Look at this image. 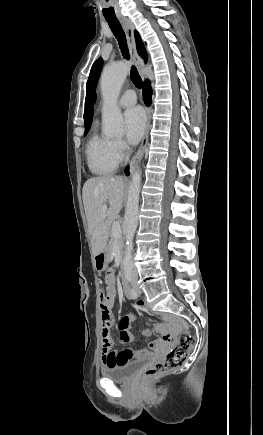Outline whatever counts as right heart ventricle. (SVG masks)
I'll return each instance as SVG.
<instances>
[{
	"instance_id": "e07e8e85",
	"label": "right heart ventricle",
	"mask_w": 263,
	"mask_h": 435,
	"mask_svg": "<svg viewBox=\"0 0 263 435\" xmlns=\"http://www.w3.org/2000/svg\"><path fill=\"white\" fill-rule=\"evenodd\" d=\"M113 142L98 131L97 125L93 127L86 145L87 164L93 174L106 176L116 171L119 162L114 155Z\"/></svg>"
}]
</instances>
